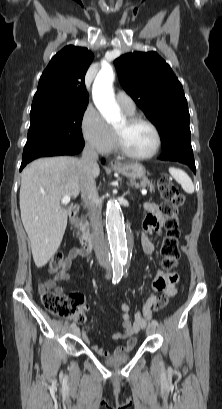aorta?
<instances>
[{"label":"aorta","mask_w":222,"mask_h":409,"mask_svg":"<svg viewBox=\"0 0 222 409\" xmlns=\"http://www.w3.org/2000/svg\"><path fill=\"white\" fill-rule=\"evenodd\" d=\"M113 81V69L107 65L99 71L92 87L94 104L109 124L121 120L120 109L114 99ZM106 230L112 263L115 269H121L130 258L131 231L124 222L119 204L114 200L107 203Z\"/></svg>","instance_id":"762f6f07"}]
</instances>
